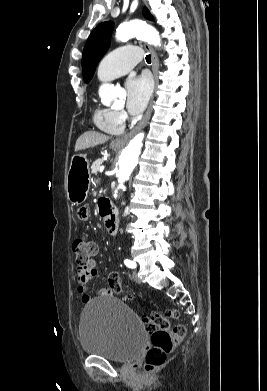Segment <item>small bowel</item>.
<instances>
[{"label": "small bowel", "mask_w": 267, "mask_h": 391, "mask_svg": "<svg viewBox=\"0 0 267 391\" xmlns=\"http://www.w3.org/2000/svg\"><path fill=\"white\" fill-rule=\"evenodd\" d=\"M77 216L81 220H86L88 218V210L85 207H81L77 211ZM98 271L96 269L95 263L85 271L77 270L76 279H77V291L81 296V301L83 303H88L90 301V297L87 294V288L89 281L97 275ZM112 291L109 288H104L99 291L100 297H108L112 295Z\"/></svg>", "instance_id": "small-bowel-1"}]
</instances>
